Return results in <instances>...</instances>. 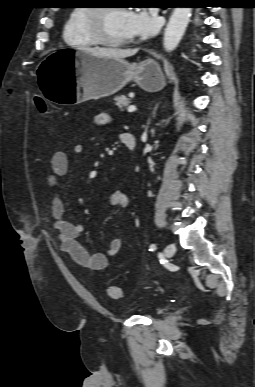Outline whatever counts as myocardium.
I'll return each mask as SVG.
<instances>
[{
    "mask_svg": "<svg viewBox=\"0 0 255 387\" xmlns=\"http://www.w3.org/2000/svg\"><path fill=\"white\" fill-rule=\"evenodd\" d=\"M113 9H123L120 7L114 6H96L89 9L87 14V29L91 37L97 44L109 46V47H119L126 45L130 42V38L116 40L107 36L104 29V17L105 14Z\"/></svg>",
    "mask_w": 255,
    "mask_h": 387,
    "instance_id": "obj_1",
    "label": "myocardium"
}]
</instances>
